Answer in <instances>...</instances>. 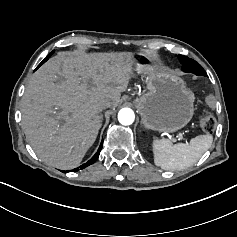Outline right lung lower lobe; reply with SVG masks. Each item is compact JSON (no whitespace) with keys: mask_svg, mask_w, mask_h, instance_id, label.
<instances>
[{"mask_svg":"<svg viewBox=\"0 0 237 237\" xmlns=\"http://www.w3.org/2000/svg\"><path fill=\"white\" fill-rule=\"evenodd\" d=\"M102 145H103V141H102V143H101V145H100V147H99L97 153L92 157L91 160H89L87 163H85V164L81 165L80 167L75 168V169H73V170H71V171H72V172H76V171H78L79 169H84V168H86L87 166L93 164V163L98 159V157H99L100 151H101V149H102ZM62 172H65V171H62ZM67 172H69V171H67Z\"/></svg>","mask_w":237,"mask_h":237,"instance_id":"right-lung-lower-lobe-1","label":"right lung lower lobe"}]
</instances>
